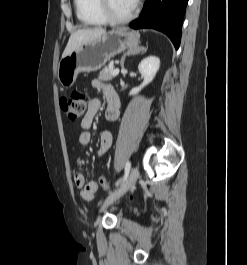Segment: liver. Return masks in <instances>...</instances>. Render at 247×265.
<instances>
[{
	"mask_svg": "<svg viewBox=\"0 0 247 265\" xmlns=\"http://www.w3.org/2000/svg\"><path fill=\"white\" fill-rule=\"evenodd\" d=\"M106 32L103 28H93V29H80L72 33L67 46L62 54V58L69 55L71 52L76 50L82 44L93 41L101 37Z\"/></svg>",
	"mask_w": 247,
	"mask_h": 265,
	"instance_id": "1",
	"label": "liver"
}]
</instances>
